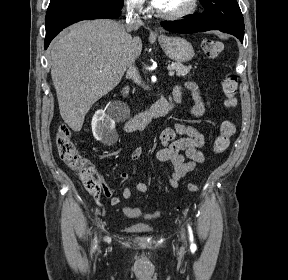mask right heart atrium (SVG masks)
Instances as JSON below:
<instances>
[{
	"mask_svg": "<svg viewBox=\"0 0 288 280\" xmlns=\"http://www.w3.org/2000/svg\"><path fill=\"white\" fill-rule=\"evenodd\" d=\"M127 9L133 13H145L148 10L145 0H124Z\"/></svg>",
	"mask_w": 288,
	"mask_h": 280,
	"instance_id": "d8ad5b80",
	"label": "right heart atrium"
}]
</instances>
